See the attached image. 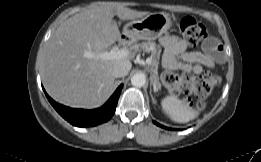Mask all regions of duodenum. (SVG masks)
<instances>
[{"label":"duodenum","mask_w":261,"mask_h":162,"mask_svg":"<svg viewBox=\"0 0 261 162\" xmlns=\"http://www.w3.org/2000/svg\"><path fill=\"white\" fill-rule=\"evenodd\" d=\"M125 41H126V36H124V35L121 36V37H120V42L123 43V42H125Z\"/></svg>","instance_id":"obj_1"}]
</instances>
